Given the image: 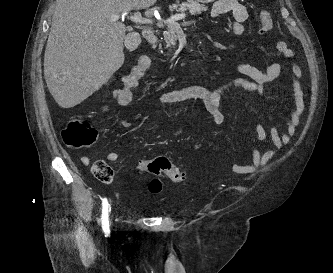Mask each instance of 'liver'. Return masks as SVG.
Instances as JSON below:
<instances>
[{"mask_svg":"<svg viewBox=\"0 0 333 273\" xmlns=\"http://www.w3.org/2000/svg\"><path fill=\"white\" fill-rule=\"evenodd\" d=\"M157 0H57L44 54L56 103L72 108L100 89L124 63L125 25L114 17Z\"/></svg>","mask_w":333,"mask_h":273,"instance_id":"liver-1","label":"liver"}]
</instances>
